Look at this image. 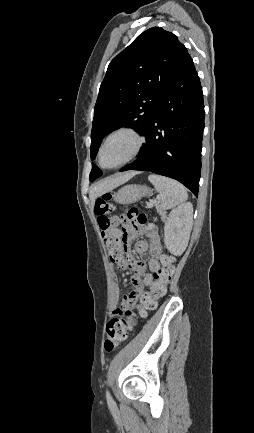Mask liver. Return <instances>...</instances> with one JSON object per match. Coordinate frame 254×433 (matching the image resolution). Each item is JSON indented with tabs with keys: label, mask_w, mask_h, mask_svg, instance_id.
Wrapping results in <instances>:
<instances>
[{
	"label": "liver",
	"mask_w": 254,
	"mask_h": 433,
	"mask_svg": "<svg viewBox=\"0 0 254 433\" xmlns=\"http://www.w3.org/2000/svg\"><path fill=\"white\" fill-rule=\"evenodd\" d=\"M137 172H127L122 175L118 176H112L108 177L104 180H101L91 186L90 192H89V198L91 200L92 206L94 205V202L97 197L101 196L102 194L112 191L114 188L124 184L128 180H130L133 176H135Z\"/></svg>",
	"instance_id": "1"
}]
</instances>
